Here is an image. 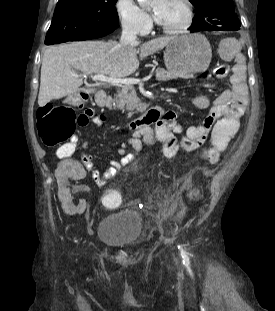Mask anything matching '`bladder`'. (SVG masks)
Returning a JSON list of instances; mask_svg holds the SVG:
<instances>
[{
    "label": "bladder",
    "instance_id": "1",
    "mask_svg": "<svg viewBox=\"0 0 275 311\" xmlns=\"http://www.w3.org/2000/svg\"><path fill=\"white\" fill-rule=\"evenodd\" d=\"M142 234L141 216L134 210H118L104 216L96 230L98 239L118 248L136 246L141 241Z\"/></svg>",
    "mask_w": 275,
    "mask_h": 311
}]
</instances>
